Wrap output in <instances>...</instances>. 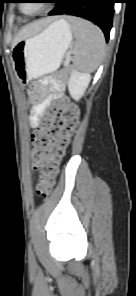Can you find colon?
I'll list each match as a JSON object with an SVG mask.
<instances>
[{"label":"colon","instance_id":"1","mask_svg":"<svg viewBox=\"0 0 136 296\" xmlns=\"http://www.w3.org/2000/svg\"><path fill=\"white\" fill-rule=\"evenodd\" d=\"M48 79V78H45ZM78 125V110L67 98L53 101L45 110L40 127L32 134L35 147L31 153L32 166L39 168L36 192L48 197L55 184L60 162ZM56 133L52 136V129Z\"/></svg>","mask_w":136,"mask_h":296}]
</instances>
